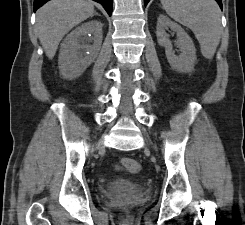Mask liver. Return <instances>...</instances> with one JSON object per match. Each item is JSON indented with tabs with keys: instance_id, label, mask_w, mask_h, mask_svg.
<instances>
[{
	"instance_id": "obj_1",
	"label": "liver",
	"mask_w": 245,
	"mask_h": 225,
	"mask_svg": "<svg viewBox=\"0 0 245 225\" xmlns=\"http://www.w3.org/2000/svg\"><path fill=\"white\" fill-rule=\"evenodd\" d=\"M94 13L93 3L87 0H51L40 7L36 29L46 56L52 59L65 34Z\"/></svg>"
}]
</instances>
